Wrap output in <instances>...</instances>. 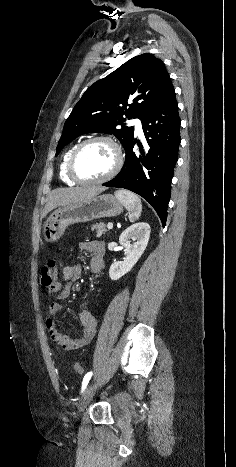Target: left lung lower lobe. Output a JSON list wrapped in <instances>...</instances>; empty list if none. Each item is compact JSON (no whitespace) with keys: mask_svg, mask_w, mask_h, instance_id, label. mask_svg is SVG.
<instances>
[{"mask_svg":"<svg viewBox=\"0 0 236 467\" xmlns=\"http://www.w3.org/2000/svg\"><path fill=\"white\" fill-rule=\"evenodd\" d=\"M141 122L146 143L144 146L137 143L140 151L136 155L133 152L136 141L132 139L124 147L126 158L122 170L103 186L125 188L139 194L152 205L165 226L181 142V120L173 86Z\"/></svg>","mask_w":236,"mask_h":467,"instance_id":"left-lung-lower-lobe-1","label":"left lung lower lobe"}]
</instances>
